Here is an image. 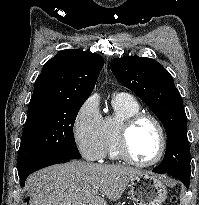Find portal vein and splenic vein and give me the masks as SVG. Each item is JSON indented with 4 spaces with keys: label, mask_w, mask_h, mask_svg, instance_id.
Returning a JSON list of instances; mask_svg holds the SVG:
<instances>
[{
    "label": "portal vein and splenic vein",
    "mask_w": 199,
    "mask_h": 205,
    "mask_svg": "<svg viewBox=\"0 0 199 205\" xmlns=\"http://www.w3.org/2000/svg\"><path fill=\"white\" fill-rule=\"evenodd\" d=\"M94 194H98V192H97V191H95V192H94Z\"/></svg>",
    "instance_id": "1"
}]
</instances>
